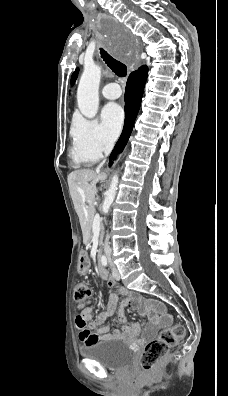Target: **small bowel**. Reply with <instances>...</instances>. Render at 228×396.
Returning a JSON list of instances; mask_svg holds the SVG:
<instances>
[{
    "label": "small bowel",
    "instance_id": "c3829d8e",
    "mask_svg": "<svg viewBox=\"0 0 228 396\" xmlns=\"http://www.w3.org/2000/svg\"><path fill=\"white\" fill-rule=\"evenodd\" d=\"M80 270L86 273L89 270V259L86 254L80 256ZM107 285L114 287L116 282L108 277L106 280ZM124 297L118 308V317L120 322L123 323L121 329H115L110 333L108 325H104L107 318L112 316L115 312L119 299ZM159 305L153 304L148 299L136 295L128 294L124 289H118L116 292L111 294L109 303L105 311L100 313L97 317L92 318V309L87 308L84 310L86 320L88 324L83 329H79V340L83 344H91L101 340L117 339L122 337L134 338L140 334V328L136 323L129 322L125 315L126 308L137 310L143 317L147 318V326L143 332V338L147 339L152 337L158 329L167 326L171 318L170 316L163 314L160 315L157 308Z\"/></svg>",
    "mask_w": 228,
    "mask_h": 396
}]
</instances>
